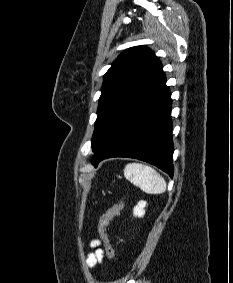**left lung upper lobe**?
I'll list each match as a JSON object with an SVG mask.
<instances>
[{
  "label": "left lung upper lobe",
  "mask_w": 233,
  "mask_h": 283,
  "mask_svg": "<svg viewBox=\"0 0 233 283\" xmlns=\"http://www.w3.org/2000/svg\"><path fill=\"white\" fill-rule=\"evenodd\" d=\"M162 67L144 46L121 53L104 75L91 147L96 152L132 107L147 83Z\"/></svg>",
  "instance_id": "obj_1"
}]
</instances>
